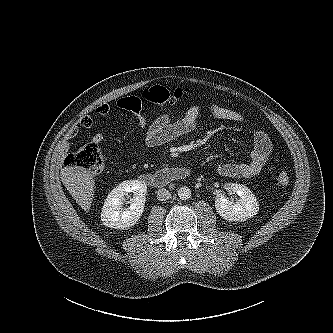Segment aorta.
Returning a JSON list of instances; mask_svg holds the SVG:
<instances>
[{
    "mask_svg": "<svg viewBox=\"0 0 333 333\" xmlns=\"http://www.w3.org/2000/svg\"><path fill=\"white\" fill-rule=\"evenodd\" d=\"M178 196L181 200H187L191 197V190L188 187H180L178 189Z\"/></svg>",
    "mask_w": 333,
    "mask_h": 333,
    "instance_id": "1",
    "label": "aorta"
}]
</instances>
